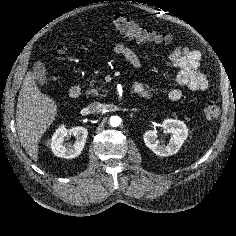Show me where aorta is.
Wrapping results in <instances>:
<instances>
[{"label":"aorta","instance_id":"obj_1","mask_svg":"<svg viewBox=\"0 0 236 236\" xmlns=\"http://www.w3.org/2000/svg\"><path fill=\"white\" fill-rule=\"evenodd\" d=\"M109 122L112 127H117L121 123V118L119 116H111Z\"/></svg>","mask_w":236,"mask_h":236}]
</instances>
